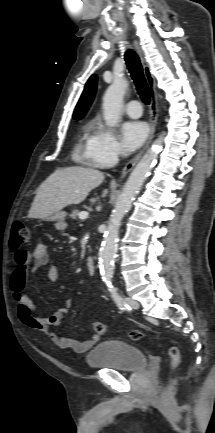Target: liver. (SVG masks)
<instances>
[{"mask_svg":"<svg viewBox=\"0 0 215 433\" xmlns=\"http://www.w3.org/2000/svg\"><path fill=\"white\" fill-rule=\"evenodd\" d=\"M104 180V173L81 166L57 169L37 189L30 218L46 219L71 204H80Z\"/></svg>","mask_w":215,"mask_h":433,"instance_id":"6515ba94","label":"liver"}]
</instances>
